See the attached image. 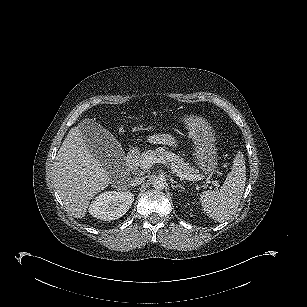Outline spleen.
<instances>
[{
	"instance_id": "1",
	"label": "spleen",
	"mask_w": 307,
	"mask_h": 307,
	"mask_svg": "<svg viewBox=\"0 0 307 307\" xmlns=\"http://www.w3.org/2000/svg\"><path fill=\"white\" fill-rule=\"evenodd\" d=\"M246 183V166L243 154H237L231 172L220 190L204 191L200 203L204 213L210 218L223 222L237 211Z\"/></svg>"
}]
</instances>
